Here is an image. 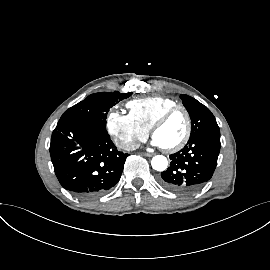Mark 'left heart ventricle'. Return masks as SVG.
I'll list each match as a JSON object with an SVG mask.
<instances>
[{
	"label": "left heart ventricle",
	"instance_id": "b2bd125f",
	"mask_svg": "<svg viewBox=\"0 0 270 270\" xmlns=\"http://www.w3.org/2000/svg\"><path fill=\"white\" fill-rule=\"evenodd\" d=\"M186 125L185 114L177 111L155 132L154 138L162 147H171L182 139Z\"/></svg>",
	"mask_w": 270,
	"mask_h": 270
}]
</instances>
